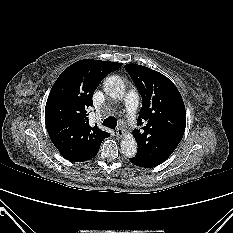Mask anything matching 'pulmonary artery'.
Returning a JSON list of instances; mask_svg holds the SVG:
<instances>
[{"label": "pulmonary artery", "mask_w": 233, "mask_h": 233, "mask_svg": "<svg viewBox=\"0 0 233 233\" xmlns=\"http://www.w3.org/2000/svg\"><path fill=\"white\" fill-rule=\"evenodd\" d=\"M124 103L126 106V111L130 120L135 119L136 109L138 105V98L134 92H129L125 96Z\"/></svg>", "instance_id": "obj_1"}]
</instances>
